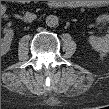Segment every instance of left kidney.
Here are the masks:
<instances>
[{
	"instance_id": "left-kidney-1",
	"label": "left kidney",
	"mask_w": 109,
	"mask_h": 109,
	"mask_svg": "<svg viewBox=\"0 0 109 109\" xmlns=\"http://www.w3.org/2000/svg\"><path fill=\"white\" fill-rule=\"evenodd\" d=\"M98 22H107L109 21V16L107 14L101 15L97 18ZM89 44L93 49L99 52H107L109 49V35H105L104 37H96L90 36Z\"/></svg>"
}]
</instances>
